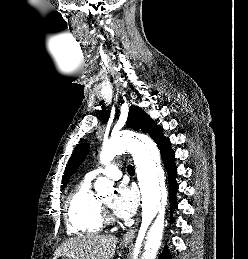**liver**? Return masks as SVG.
<instances>
[{
    "label": "liver",
    "instance_id": "liver-1",
    "mask_svg": "<svg viewBox=\"0 0 248 259\" xmlns=\"http://www.w3.org/2000/svg\"><path fill=\"white\" fill-rule=\"evenodd\" d=\"M117 243L116 236L96 233L69 238L56 249L53 259L60 255L76 259H111Z\"/></svg>",
    "mask_w": 248,
    "mask_h": 259
}]
</instances>
